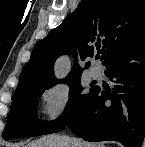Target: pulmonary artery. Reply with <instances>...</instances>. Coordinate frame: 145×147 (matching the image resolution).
Returning a JSON list of instances; mask_svg holds the SVG:
<instances>
[{
    "label": "pulmonary artery",
    "instance_id": "pulmonary-artery-1",
    "mask_svg": "<svg viewBox=\"0 0 145 147\" xmlns=\"http://www.w3.org/2000/svg\"><path fill=\"white\" fill-rule=\"evenodd\" d=\"M100 74H101V71H100V69L97 67V66H93L91 69H90V75L92 76V77H98V76H100Z\"/></svg>",
    "mask_w": 145,
    "mask_h": 147
}]
</instances>
